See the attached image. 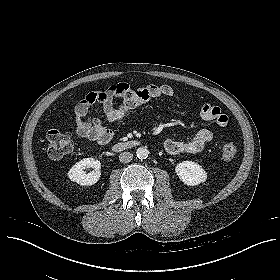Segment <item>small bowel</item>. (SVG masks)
<instances>
[{
  "label": "small bowel",
  "mask_w": 280,
  "mask_h": 280,
  "mask_svg": "<svg viewBox=\"0 0 280 280\" xmlns=\"http://www.w3.org/2000/svg\"><path fill=\"white\" fill-rule=\"evenodd\" d=\"M173 94L174 90L169 85H148L140 89H132L127 83L89 91L75 107L76 133L81 137L93 139L90 135L92 130H107L110 132V139L112 138L113 132L111 130L104 127L98 119L88 117L95 104H100L107 119L110 122H115L124 119L130 109L145 105L151 99L170 97ZM115 99H119V104L115 103ZM203 108L204 106L200 111L202 116ZM212 138L213 134L210 130L201 129L196 135L185 141L167 139L163 146L165 151L170 154L195 152L203 149ZM97 140L105 143L101 138Z\"/></svg>",
  "instance_id": "c3829d8e"
}]
</instances>
